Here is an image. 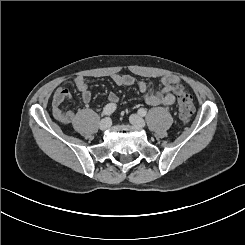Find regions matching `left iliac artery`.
<instances>
[{
  "label": "left iliac artery",
  "mask_w": 245,
  "mask_h": 245,
  "mask_svg": "<svg viewBox=\"0 0 245 245\" xmlns=\"http://www.w3.org/2000/svg\"><path fill=\"white\" fill-rule=\"evenodd\" d=\"M138 113H139L141 116H145V115L147 114V111H146V109H144V108H140V109L138 110Z\"/></svg>",
  "instance_id": "left-iliac-artery-1"
}]
</instances>
